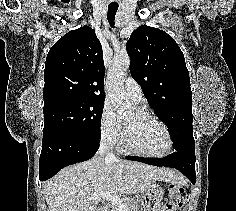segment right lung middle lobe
Returning <instances> with one entry per match:
<instances>
[{
	"label": "right lung middle lobe",
	"instance_id": "obj_1",
	"mask_svg": "<svg viewBox=\"0 0 236 211\" xmlns=\"http://www.w3.org/2000/svg\"><path fill=\"white\" fill-rule=\"evenodd\" d=\"M104 101L60 99L44 105L43 133L53 130L71 131L100 139Z\"/></svg>",
	"mask_w": 236,
	"mask_h": 211
}]
</instances>
